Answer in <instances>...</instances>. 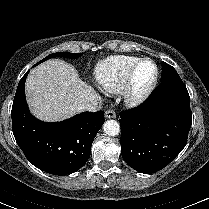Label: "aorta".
<instances>
[{
    "mask_svg": "<svg viewBox=\"0 0 209 209\" xmlns=\"http://www.w3.org/2000/svg\"><path fill=\"white\" fill-rule=\"evenodd\" d=\"M104 132L108 136H116L120 132V125L116 120H108L103 126Z\"/></svg>",
    "mask_w": 209,
    "mask_h": 209,
    "instance_id": "762f6f07",
    "label": "aorta"
}]
</instances>
